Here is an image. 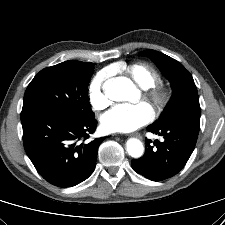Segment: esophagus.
I'll return each instance as SVG.
<instances>
[{
  "label": "esophagus",
  "mask_w": 225,
  "mask_h": 225,
  "mask_svg": "<svg viewBox=\"0 0 225 225\" xmlns=\"http://www.w3.org/2000/svg\"><path fill=\"white\" fill-rule=\"evenodd\" d=\"M132 136H134L140 140H142V138H143L139 133H134V134H132Z\"/></svg>",
  "instance_id": "obj_1"
}]
</instances>
